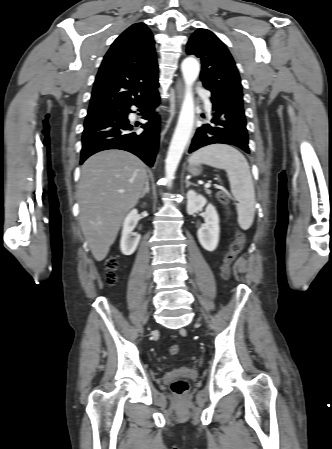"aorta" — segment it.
<instances>
[{"label": "aorta", "instance_id": "762f6f07", "mask_svg": "<svg viewBox=\"0 0 332 449\" xmlns=\"http://www.w3.org/2000/svg\"><path fill=\"white\" fill-rule=\"evenodd\" d=\"M181 70L185 82V94L177 126L166 157L165 173L169 186H171V182L174 179L175 172L193 129L195 105L192 86L199 75L200 64L195 58L188 57L183 60Z\"/></svg>", "mask_w": 332, "mask_h": 449}]
</instances>
